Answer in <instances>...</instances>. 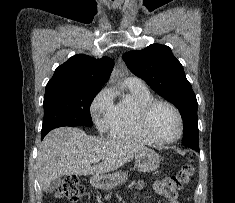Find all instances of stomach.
Masks as SVG:
<instances>
[{
  "instance_id": "1",
  "label": "stomach",
  "mask_w": 235,
  "mask_h": 203,
  "mask_svg": "<svg viewBox=\"0 0 235 203\" xmlns=\"http://www.w3.org/2000/svg\"><path fill=\"white\" fill-rule=\"evenodd\" d=\"M160 163L159 155L151 149H145L135 155V165L141 172L155 171ZM128 174L117 171L113 174L93 175L90 179L92 186L98 189H111L126 182Z\"/></svg>"
}]
</instances>
